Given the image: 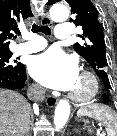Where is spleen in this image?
<instances>
[{
	"mask_svg": "<svg viewBox=\"0 0 117 136\" xmlns=\"http://www.w3.org/2000/svg\"><path fill=\"white\" fill-rule=\"evenodd\" d=\"M77 116H87L101 122L108 136H117V113L110 107L101 104H89L77 111Z\"/></svg>",
	"mask_w": 117,
	"mask_h": 136,
	"instance_id": "spleen-1",
	"label": "spleen"
}]
</instances>
